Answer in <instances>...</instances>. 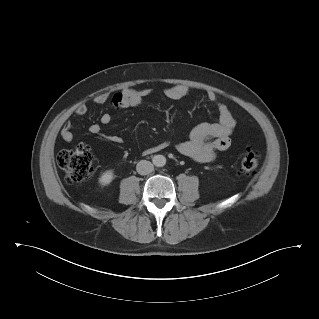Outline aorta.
<instances>
[{"instance_id":"aorta-1","label":"aorta","mask_w":319,"mask_h":319,"mask_svg":"<svg viewBox=\"0 0 319 319\" xmlns=\"http://www.w3.org/2000/svg\"><path fill=\"white\" fill-rule=\"evenodd\" d=\"M153 162H154L155 166L162 167L166 164V158L163 155H156L153 158Z\"/></svg>"}]
</instances>
